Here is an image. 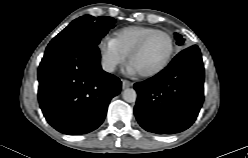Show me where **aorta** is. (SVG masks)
Returning a JSON list of instances; mask_svg holds the SVG:
<instances>
[{"label": "aorta", "mask_w": 248, "mask_h": 158, "mask_svg": "<svg viewBox=\"0 0 248 158\" xmlns=\"http://www.w3.org/2000/svg\"><path fill=\"white\" fill-rule=\"evenodd\" d=\"M123 99L128 102V103H133L137 99V93L134 89L132 88H127L123 91L122 93Z\"/></svg>", "instance_id": "1"}]
</instances>
